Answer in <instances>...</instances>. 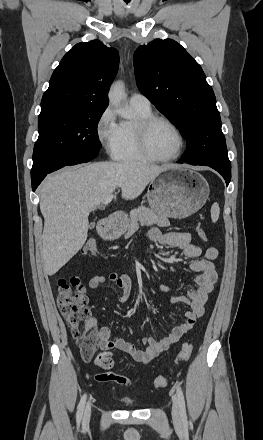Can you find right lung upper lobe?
<instances>
[{
    "instance_id": "cb5924a9",
    "label": "right lung upper lobe",
    "mask_w": 263,
    "mask_h": 440,
    "mask_svg": "<svg viewBox=\"0 0 263 440\" xmlns=\"http://www.w3.org/2000/svg\"><path fill=\"white\" fill-rule=\"evenodd\" d=\"M118 64V51L98 40L76 44L54 70L41 112L106 109Z\"/></svg>"
}]
</instances>
